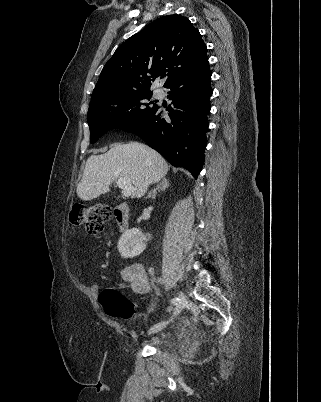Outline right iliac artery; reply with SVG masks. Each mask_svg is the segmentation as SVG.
Returning <instances> with one entry per match:
<instances>
[{
    "label": "right iliac artery",
    "mask_w": 321,
    "mask_h": 402,
    "mask_svg": "<svg viewBox=\"0 0 321 402\" xmlns=\"http://www.w3.org/2000/svg\"><path fill=\"white\" fill-rule=\"evenodd\" d=\"M159 281H160V280H159ZM178 301H179V298H173V299L171 300V302L174 303V304H176Z\"/></svg>",
    "instance_id": "1"
}]
</instances>
